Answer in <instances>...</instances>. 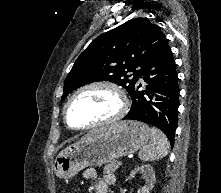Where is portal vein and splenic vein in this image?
I'll list each match as a JSON object with an SVG mask.
<instances>
[{"label":"portal vein and splenic vein","instance_id":"1","mask_svg":"<svg viewBox=\"0 0 221 193\" xmlns=\"http://www.w3.org/2000/svg\"><path fill=\"white\" fill-rule=\"evenodd\" d=\"M118 164H119V165H122V162H121V161H119V162H118Z\"/></svg>","mask_w":221,"mask_h":193}]
</instances>
